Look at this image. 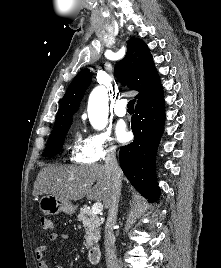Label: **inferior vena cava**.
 Masks as SVG:
<instances>
[{"instance_id": "inferior-vena-cava-1", "label": "inferior vena cava", "mask_w": 221, "mask_h": 268, "mask_svg": "<svg viewBox=\"0 0 221 268\" xmlns=\"http://www.w3.org/2000/svg\"><path fill=\"white\" fill-rule=\"evenodd\" d=\"M116 151L110 150L105 159V168L110 176L111 195L108 205V217L105 226V252L107 268H118L115 247L114 226L118 213V202L121 194V169L116 159Z\"/></svg>"}]
</instances>
